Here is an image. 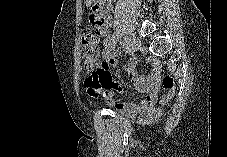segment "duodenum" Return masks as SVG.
Here are the masks:
<instances>
[{
  "instance_id": "obj_1",
  "label": "duodenum",
  "mask_w": 227,
  "mask_h": 157,
  "mask_svg": "<svg viewBox=\"0 0 227 157\" xmlns=\"http://www.w3.org/2000/svg\"><path fill=\"white\" fill-rule=\"evenodd\" d=\"M95 9H106V4H95ZM92 25H100L102 29H105V20H99L98 16L94 17L92 20Z\"/></svg>"
}]
</instances>
